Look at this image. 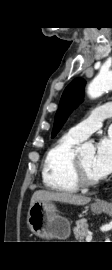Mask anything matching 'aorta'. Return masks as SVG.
<instances>
[{
	"label": "aorta",
	"instance_id": "762f6f07",
	"mask_svg": "<svg viewBox=\"0 0 112 270\" xmlns=\"http://www.w3.org/2000/svg\"><path fill=\"white\" fill-rule=\"evenodd\" d=\"M112 89V72L98 74L89 84L87 93L92 99L101 96L105 91ZM78 152L84 156L94 154L95 148L91 143H84L78 148Z\"/></svg>",
	"mask_w": 112,
	"mask_h": 270
}]
</instances>
